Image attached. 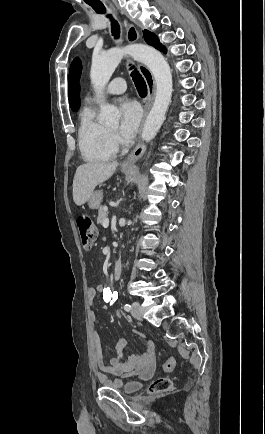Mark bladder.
<instances>
[{
  "label": "bladder",
  "instance_id": "31cf9c89",
  "mask_svg": "<svg viewBox=\"0 0 265 434\" xmlns=\"http://www.w3.org/2000/svg\"><path fill=\"white\" fill-rule=\"evenodd\" d=\"M141 383L136 382V381H131L126 383L123 387H122V392L125 394H133L135 392H137L140 388H141Z\"/></svg>",
  "mask_w": 265,
  "mask_h": 434
}]
</instances>
